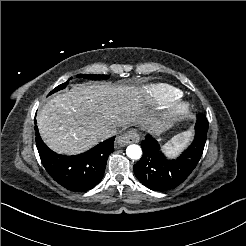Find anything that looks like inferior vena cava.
Here are the masks:
<instances>
[{"label": "inferior vena cava", "instance_id": "1", "mask_svg": "<svg viewBox=\"0 0 246 246\" xmlns=\"http://www.w3.org/2000/svg\"><path fill=\"white\" fill-rule=\"evenodd\" d=\"M116 134H117V129H112V130H110L108 137L114 136Z\"/></svg>", "mask_w": 246, "mask_h": 246}]
</instances>
